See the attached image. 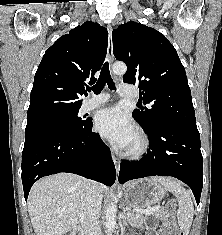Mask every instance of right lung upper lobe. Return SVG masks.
I'll list each match as a JSON object with an SVG mask.
<instances>
[{
	"mask_svg": "<svg viewBox=\"0 0 222 235\" xmlns=\"http://www.w3.org/2000/svg\"><path fill=\"white\" fill-rule=\"evenodd\" d=\"M107 43V29L90 21L61 36L45 52L35 73L27 118L82 104L86 81H96L94 74L101 69Z\"/></svg>",
	"mask_w": 222,
	"mask_h": 235,
	"instance_id": "1",
	"label": "right lung upper lobe"
}]
</instances>
